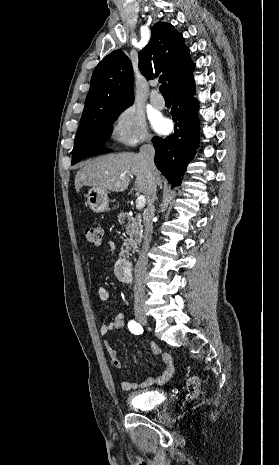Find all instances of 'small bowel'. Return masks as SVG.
<instances>
[{"label":"small bowel","mask_w":279,"mask_h":465,"mask_svg":"<svg viewBox=\"0 0 279 465\" xmlns=\"http://www.w3.org/2000/svg\"><path fill=\"white\" fill-rule=\"evenodd\" d=\"M108 245H109V248H110L111 251L114 252L116 250V246H115L114 242L109 241ZM97 297H98V299L100 301L108 300V298H109L108 290L103 286H99L97 288ZM123 326H124V315L122 313H119V314L115 315L111 319V321H109L108 323H105V324H103L101 326L100 333L102 335H107V334H109V333H111L113 331L121 329ZM149 346H150V350H151L152 354L161 356V359H162V361L164 362V364L166 366L165 370L158 377L147 378L146 380H144L141 383H134V382L127 381V380L122 381L121 382V388L124 391L135 390V389H138V388H147V387H150V386H152L154 384H163V383L167 382L169 380V378L173 375L175 368H174L173 360H172V357L170 356V354L162 353L159 346L153 341H151L149 343ZM105 347H106V351H107V353L109 355V358L111 360L112 365L115 368L120 369L122 367V363H121V360L118 357L117 351L107 341L105 342ZM134 360H135L136 363H138V360H137L136 357H134Z\"/></svg>","instance_id":"c3829d8e"}]
</instances>
